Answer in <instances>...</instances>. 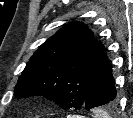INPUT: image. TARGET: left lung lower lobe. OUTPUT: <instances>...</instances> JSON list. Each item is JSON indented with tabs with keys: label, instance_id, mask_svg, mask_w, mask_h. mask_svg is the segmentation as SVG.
<instances>
[{
	"label": "left lung lower lobe",
	"instance_id": "left-lung-lower-lobe-1",
	"mask_svg": "<svg viewBox=\"0 0 133 118\" xmlns=\"http://www.w3.org/2000/svg\"><path fill=\"white\" fill-rule=\"evenodd\" d=\"M117 91L115 81L112 75L111 61L108 60L98 79L89 91L84 102V108L92 109L94 107H102L109 110L107 105L117 101Z\"/></svg>",
	"mask_w": 133,
	"mask_h": 118
}]
</instances>
